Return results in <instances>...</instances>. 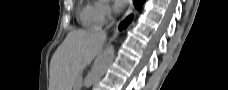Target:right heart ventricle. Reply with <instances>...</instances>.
Masks as SVG:
<instances>
[{
    "label": "right heart ventricle",
    "mask_w": 228,
    "mask_h": 90,
    "mask_svg": "<svg viewBox=\"0 0 228 90\" xmlns=\"http://www.w3.org/2000/svg\"><path fill=\"white\" fill-rule=\"evenodd\" d=\"M94 7L91 5H86L83 7L81 13H80V18L84 26L86 27H95L98 25L94 19Z\"/></svg>",
    "instance_id": "right-heart-ventricle-1"
}]
</instances>
